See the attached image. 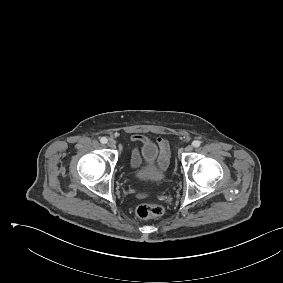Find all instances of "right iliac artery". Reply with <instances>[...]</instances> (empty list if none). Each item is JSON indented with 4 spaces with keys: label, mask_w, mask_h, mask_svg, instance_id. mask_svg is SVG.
<instances>
[{
    "label": "right iliac artery",
    "mask_w": 283,
    "mask_h": 283,
    "mask_svg": "<svg viewBox=\"0 0 283 283\" xmlns=\"http://www.w3.org/2000/svg\"><path fill=\"white\" fill-rule=\"evenodd\" d=\"M100 142H101L102 144H106V143L108 142V140H107L106 137H102V138L100 139Z\"/></svg>",
    "instance_id": "right-iliac-artery-1"
}]
</instances>
